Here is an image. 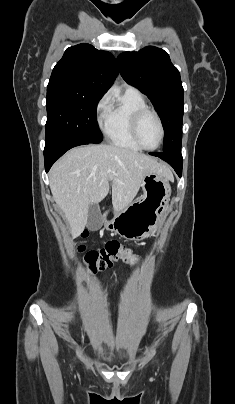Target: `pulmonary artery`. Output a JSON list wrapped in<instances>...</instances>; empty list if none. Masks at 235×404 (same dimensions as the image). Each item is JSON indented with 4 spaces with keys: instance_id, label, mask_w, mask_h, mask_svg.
Wrapping results in <instances>:
<instances>
[{
    "instance_id": "e3ab8cb5",
    "label": "pulmonary artery",
    "mask_w": 235,
    "mask_h": 404,
    "mask_svg": "<svg viewBox=\"0 0 235 404\" xmlns=\"http://www.w3.org/2000/svg\"><path fill=\"white\" fill-rule=\"evenodd\" d=\"M126 89H128V90H136L134 87H132V86H127V88Z\"/></svg>"
}]
</instances>
